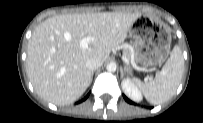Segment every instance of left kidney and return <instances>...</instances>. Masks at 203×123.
Here are the masks:
<instances>
[{"label": "left kidney", "instance_id": "5707ae66", "mask_svg": "<svg viewBox=\"0 0 203 123\" xmlns=\"http://www.w3.org/2000/svg\"><path fill=\"white\" fill-rule=\"evenodd\" d=\"M122 89L126 96H128L133 101L139 102L142 100V94L138 87L132 82L129 78H125L122 80Z\"/></svg>", "mask_w": 203, "mask_h": 123}]
</instances>
